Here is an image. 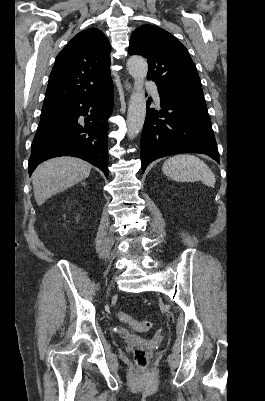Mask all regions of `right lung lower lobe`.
I'll return each mask as SVG.
<instances>
[{
	"label": "right lung lower lobe",
	"mask_w": 265,
	"mask_h": 401,
	"mask_svg": "<svg viewBox=\"0 0 265 401\" xmlns=\"http://www.w3.org/2000/svg\"><path fill=\"white\" fill-rule=\"evenodd\" d=\"M113 107L112 81L99 92L41 111L31 146L29 174L41 162L58 156L88 161L108 177V122ZM80 116H87L84 120Z\"/></svg>",
	"instance_id": "98d812e1"
}]
</instances>
